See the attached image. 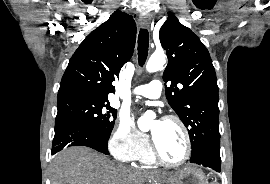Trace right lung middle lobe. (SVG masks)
Instances as JSON below:
<instances>
[{"label":"right lung middle lobe","instance_id":"dd1d6c3e","mask_svg":"<svg viewBox=\"0 0 270 184\" xmlns=\"http://www.w3.org/2000/svg\"><path fill=\"white\" fill-rule=\"evenodd\" d=\"M57 107L55 125H81L109 139L117 110L112 108L107 100L89 96H68L58 98Z\"/></svg>","mask_w":270,"mask_h":184}]
</instances>
